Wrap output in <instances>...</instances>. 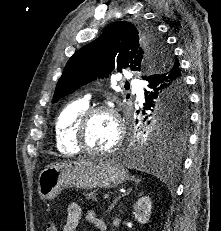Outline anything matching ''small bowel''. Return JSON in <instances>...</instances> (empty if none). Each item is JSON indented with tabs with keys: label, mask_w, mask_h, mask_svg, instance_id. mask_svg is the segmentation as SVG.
I'll return each instance as SVG.
<instances>
[{
	"label": "small bowel",
	"mask_w": 221,
	"mask_h": 231,
	"mask_svg": "<svg viewBox=\"0 0 221 231\" xmlns=\"http://www.w3.org/2000/svg\"><path fill=\"white\" fill-rule=\"evenodd\" d=\"M81 207L77 202H71L66 212V222L63 226L62 231H76L81 218ZM88 222L97 231H106V224L100 218H97L93 213L87 215Z\"/></svg>",
	"instance_id": "small-bowel-1"
}]
</instances>
